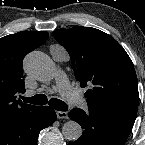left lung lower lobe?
<instances>
[{
  "label": "left lung lower lobe",
  "instance_id": "1",
  "mask_svg": "<svg viewBox=\"0 0 145 145\" xmlns=\"http://www.w3.org/2000/svg\"><path fill=\"white\" fill-rule=\"evenodd\" d=\"M136 110L74 108L68 116L84 129L82 136L69 145H124L136 119Z\"/></svg>",
  "mask_w": 145,
  "mask_h": 145
}]
</instances>
